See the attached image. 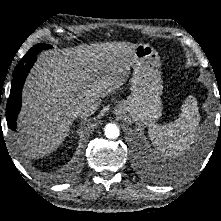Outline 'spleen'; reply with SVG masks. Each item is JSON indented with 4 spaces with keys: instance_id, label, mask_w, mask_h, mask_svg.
<instances>
[{
    "instance_id": "3e777b00",
    "label": "spleen",
    "mask_w": 221,
    "mask_h": 221,
    "mask_svg": "<svg viewBox=\"0 0 221 221\" xmlns=\"http://www.w3.org/2000/svg\"><path fill=\"white\" fill-rule=\"evenodd\" d=\"M200 115L197 102L189 96L181 107L179 118L168 124L151 123L148 133L158 153L166 157H179L199 136Z\"/></svg>"
}]
</instances>
